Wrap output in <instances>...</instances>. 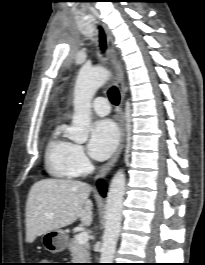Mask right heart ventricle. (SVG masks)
Here are the masks:
<instances>
[{"label":"right heart ventricle","mask_w":205,"mask_h":265,"mask_svg":"<svg viewBox=\"0 0 205 265\" xmlns=\"http://www.w3.org/2000/svg\"><path fill=\"white\" fill-rule=\"evenodd\" d=\"M63 132L64 126L59 124L50 133L45 147V167L53 177L72 179L78 175L71 163L74 144L64 136Z\"/></svg>","instance_id":"1"}]
</instances>
